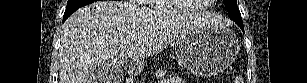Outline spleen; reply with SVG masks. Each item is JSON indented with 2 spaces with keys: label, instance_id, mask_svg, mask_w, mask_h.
I'll return each mask as SVG.
<instances>
[{
  "label": "spleen",
  "instance_id": "spleen-1",
  "mask_svg": "<svg viewBox=\"0 0 307 83\" xmlns=\"http://www.w3.org/2000/svg\"><path fill=\"white\" fill-rule=\"evenodd\" d=\"M235 83H243V79L241 77H238L235 79Z\"/></svg>",
  "mask_w": 307,
  "mask_h": 83
}]
</instances>
